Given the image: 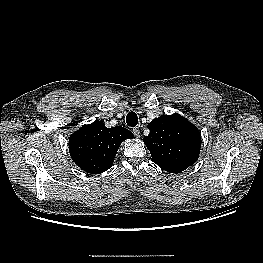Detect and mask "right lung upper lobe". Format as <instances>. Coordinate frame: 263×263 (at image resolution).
Listing matches in <instances>:
<instances>
[{
    "instance_id": "1",
    "label": "right lung upper lobe",
    "mask_w": 263,
    "mask_h": 263,
    "mask_svg": "<svg viewBox=\"0 0 263 263\" xmlns=\"http://www.w3.org/2000/svg\"><path fill=\"white\" fill-rule=\"evenodd\" d=\"M96 122L83 132L79 141L80 148L74 152L79 166L90 173L107 170L111 166L121 142L130 136L128 132L120 129L100 128L96 126Z\"/></svg>"
}]
</instances>
